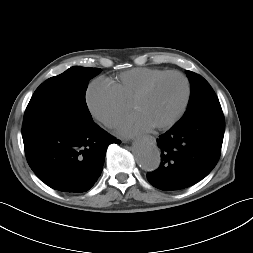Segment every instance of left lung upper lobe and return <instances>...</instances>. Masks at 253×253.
<instances>
[{
    "instance_id": "left-lung-upper-lobe-1",
    "label": "left lung upper lobe",
    "mask_w": 253,
    "mask_h": 253,
    "mask_svg": "<svg viewBox=\"0 0 253 253\" xmlns=\"http://www.w3.org/2000/svg\"><path fill=\"white\" fill-rule=\"evenodd\" d=\"M191 83L188 108L178 122L224 119L219 100L209 83L200 75L187 71Z\"/></svg>"
}]
</instances>
